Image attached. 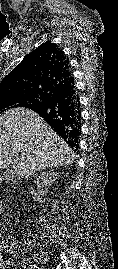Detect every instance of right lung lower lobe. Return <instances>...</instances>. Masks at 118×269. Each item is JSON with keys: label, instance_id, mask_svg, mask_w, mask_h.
I'll list each match as a JSON object with an SVG mask.
<instances>
[{"label": "right lung lower lobe", "instance_id": "98d812e1", "mask_svg": "<svg viewBox=\"0 0 118 269\" xmlns=\"http://www.w3.org/2000/svg\"><path fill=\"white\" fill-rule=\"evenodd\" d=\"M30 109L43 117L71 148H79L81 115L75 83L64 91L55 93L44 104Z\"/></svg>", "mask_w": 118, "mask_h": 269}]
</instances>
